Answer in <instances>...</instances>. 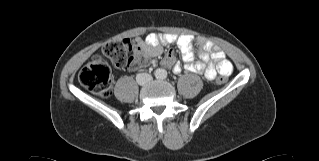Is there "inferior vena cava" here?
Listing matches in <instances>:
<instances>
[{"mask_svg": "<svg viewBox=\"0 0 319 161\" xmlns=\"http://www.w3.org/2000/svg\"><path fill=\"white\" fill-rule=\"evenodd\" d=\"M152 80V76L148 73H139L136 75V81L139 85H144Z\"/></svg>", "mask_w": 319, "mask_h": 161, "instance_id": "inferior-vena-cava-1", "label": "inferior vena cava"}]
</instances>
